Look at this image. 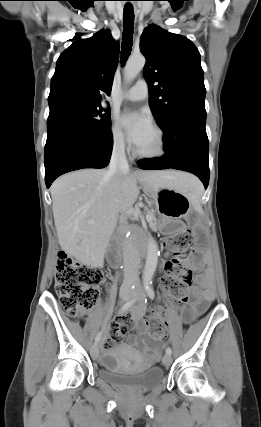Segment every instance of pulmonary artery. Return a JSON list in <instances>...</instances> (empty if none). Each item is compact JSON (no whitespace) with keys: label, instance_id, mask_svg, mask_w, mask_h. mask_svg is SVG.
<instances>
[{"label":"pulmonary artery","instance_id":"1","mask_svg":"<svg viewBox=\"0 0 261 427\" xmlns=\"http://www.w3.org/2000/svg\"><path fill=\"white\" fill-rule=\"evenodd\" d=\"M147 95V83L144 80H139L123 95V98L128 101H140L145 99Z\"/></svg>","mask_w":261,"mask_h":427}]
</instances>
